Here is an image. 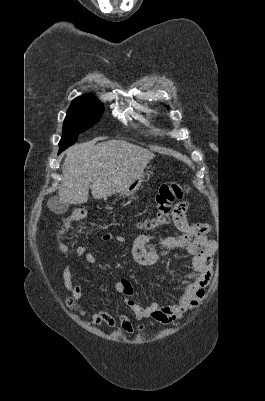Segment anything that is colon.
<instances>
[{
	"label": "colon",
	"instance_id": "obj_1",
	"mask_svg": "<svg viewBox=\"0 0 265 401\" xmlns=\"http://www.w3.org/2000/svg\"><path fill=\"white\" fill-rule=\"evenodd\" d=\"M188 193V187L181 183L163 184L160 186L156 195V213L153 217L145 219L141 223L143 229H154L169 223L172 211V203L176 200L183 198ZM86 215V211L82 208L74 209L68 216H66L57 231L58 235H62L71 223L82 220ZM61 251H65L66 247L63 243H59ZM69 305H73L69 301Z\"/></svg>",
	"mask_w": 265,
	"mask_h": 401
}]
</instances>
